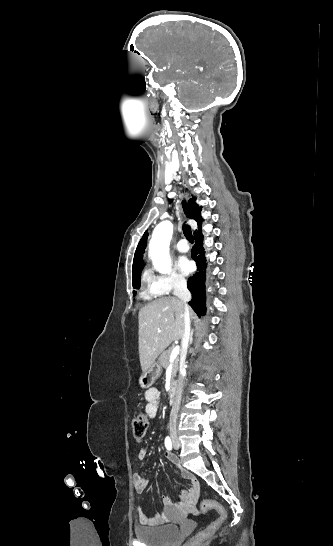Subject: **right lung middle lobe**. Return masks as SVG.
Wrapping results in <instances>:
<instances>
[{
    "instance_id": "right-lung-middle-lobe-1",
    "label": "right lung middle lobe",
    "mask_w": 333,
    "mask_h": 546,
    "mask_svg": "<svg viewBox=\"0 0 333 546\" xmlns=\"http://www.w3.org/2000/svg\"><path fill=\"white\" fill-rule=\"evenodd\" d=\"M133 287H134L135 289H138V288L140 287V277H139V274H137V275L135 276V281L133 282ZM133 293H135V291H134Z\"/></svg>"
}]
</instances>
